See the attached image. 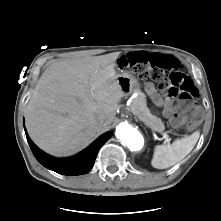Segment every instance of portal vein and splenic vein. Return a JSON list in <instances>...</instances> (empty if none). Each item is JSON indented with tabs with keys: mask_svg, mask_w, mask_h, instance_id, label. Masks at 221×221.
Listing matches in <instances>:
<instances>
[{
	"mask_svg": "<svg viewBox=\"0 0 221 221\" xmlns=\"http://www.w3.org/2000/svg\"><path fill=\"white\" fill-rule=\"evenodd\" d=\"M162 135H163V138L165 139V143H170L171 139L169 138V136L165 133V132H162Z\"/></svg>",
	"mask_w": 221,
	"mask_h": 221,
	"instance_id": "obj_1",
	"label": "portal vein and splenic vein"
}]
</instances>
